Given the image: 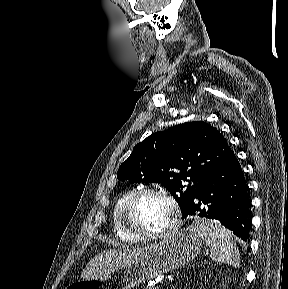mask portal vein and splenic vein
<instances>
[{
    "label": "portal vein and splenic vein",
    "mask_w": 288,
    "mask_h": 289,
    "mask_svg": "<svg viewBox=\"0 0 288 289\" xmlns=\"http://www.w3.org/2000/svg\"><path fill=\"white\" fill-rule=\"evenodd\" d=\"M160 287L159 286H155L153 289H159Z\"/></svg>",
    "instance_id": "portal-vein-and-splenic-vein-1"
}]
</instances>
